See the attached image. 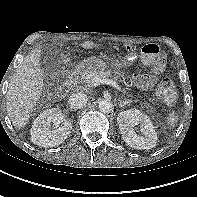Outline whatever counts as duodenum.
<instances>
[{
  "label": "duodenum",
  "mask_w": 197,
  "mask_h": 197,
  "mask_svg": "<svg viewBox=\"0 0 197 197\" xmlns=\"http://www.w3.org/2000/svg\"><path fill=\"white\" fill-rule=\"evenodd\" d=\"M80 74H81L80 67H77L72 71V73L69 77L68 83H67V87H66L67 90H69L71 87H73L78 82Z\"/></svg>",
  "instance_id": "1"
}]
</instances>
